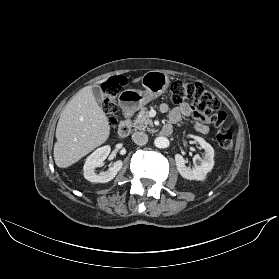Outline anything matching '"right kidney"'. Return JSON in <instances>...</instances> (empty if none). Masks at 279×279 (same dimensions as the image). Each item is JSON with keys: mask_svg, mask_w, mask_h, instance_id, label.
I'll return each instance as SVG.
<instances>
[{"mask_svg": "<svg viewBox=\"0 0 279 279\" xmlns=\"http://www.w3.org/2000/svg\"><path fill=\"white\" fill-rule=\"evenodd\" d=\"M110 151V146L106 145L96 149L87 157L83 167L85 179L95 183H106L114 179L122 168L123 162L121 160L114 162L107 171L100 172L99 174L95 173V168L103 166V162L108 157Z\"/></svg>", "mask_w": 279, "mask_h": 279, "instance_id": "ca27d5eb", "label": "right kidney"}]
</instances>
